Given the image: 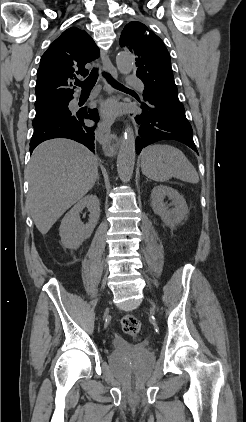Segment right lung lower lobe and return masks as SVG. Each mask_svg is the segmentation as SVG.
Here are the masks:
<instances>
[{
	"label": "right lung lower lobe",
	"mask_w": 246,
	"mask_h": 422,
	"mask_svg": "<svg viewBox=\"0 0 246 422\" xmlns=\"http://www.w3.org/2000/svg\"><path fill=\"white\" fill-rule=\"evenodd\" d=\"M85 119L98 122L96 109H81L68 115L54 117L33 124L34 133L30 141V153L41 142L52 138H68L84 144L94 152L95 127H87Z\"/></svg>",
	"instance_id": "right-lung-lower-lobe-1"
}]
</instances>
